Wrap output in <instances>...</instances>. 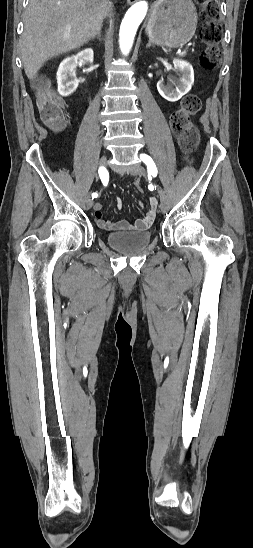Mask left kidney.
I'll return each instance as SVG.
<instances>
[{"label":"left kidney","mask_w":253,"mask_h":548,"mask_svg":"<svg viewBox=\"0 0 253 548\" xmlns=\"http://www.w3.org/2000/svg\"><path fill=\"white\" fill-rule=\"evenodd\" d=\"M173 65L174 71L179 73V78L170 79L167 85L161 80L157 82L159 94L170 102H176L187 94L194 83V71L190 63L181 59H174Z\"/></svg>","instance_id":"obj_1"}]
</instances>
